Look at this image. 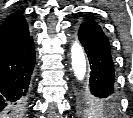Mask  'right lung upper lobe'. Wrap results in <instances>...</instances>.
Here are the masks:
<instances>
[{
    "instance_id": "obj_1",
    "label": "right lung upper lobe",
    "mask_w": 133,
    "mask_h": 118,
    "mask_svg": "<svg viewBox=\"0 0 133 118\" xmlns=\"http://www.w3.org/2000/svg\"><path fill=\"white\" fill-rule=\"evenodd\" d=\"M31 38L27 22L21 10L8 16L0 25V54H3Z\"/></svg>"
}]
</instances>
